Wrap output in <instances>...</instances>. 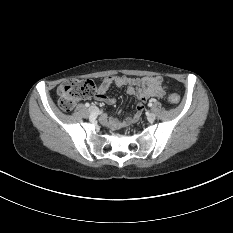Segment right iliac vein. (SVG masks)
<instances>
[{
  "label": "right iliac vein",
  "mask_w": 233,
  "mask_h": 233,
  "mask_svg": "<svg viewBox=\"0 0 233 233\" xmlns=\"http://www.w3.org/2000/svg\"><path fill=\"white\" fill-rule=\"evenodd\" d=\"M89 112L92 114V115H96L97 112H98V108L94 105L90 106L89 108Z\"/></svg>",
  "instance_id": "63e3f726"
}]
</instances>
